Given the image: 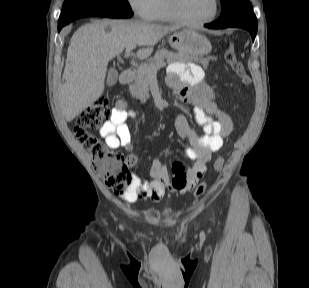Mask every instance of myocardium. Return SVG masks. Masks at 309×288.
<instances>
[{"label":"myocardium","mask_w":309,"mask_h":288,"mask_svg":"<svg viewBox=\"0 0 309 288\" xmlns=\"http://www.w3.org/2000/svg\"><path fill=\"white\" fill-rule=\"evenodd\" d=\"M213 2H214V8L210 16L198 21L188 20L181 15L178 6V0H168V6L172 17L176 22L190 27H201L211 23L219 13L220 9L219 0H213Z\"/></svg>","instance_id":"f54148a6"}]
</instances>
